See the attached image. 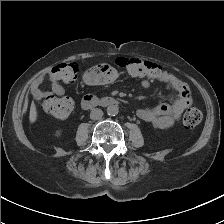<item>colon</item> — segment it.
I'll use <instances>...</instances> for the list:
<instances>
[{
    "label": "colon",
    "mask_w": 224,
    "mask_h": 224,
    "mask_svg": "<svg viewBox=\"0 0 224 224\" xmlns=\"http://www.w3.org/2000/svg\"><path fill=\"white\" fill-rule=\"evenodd\" d=\"M116 64L124 68L127 73L134 77H145L155 80L162 84L170 83L174 77L173 73L163 70L159 65L139 58H118ZM63 82L70 83L74 81L79 71V65L75 61H66L52 67ZM45 111L54 118H67L72 109L73 101L68 97H46L43 101ZM202 121V113L196 107L186 109L183 117V124L186 128H195Z\"/></svg>",
    "instance_id": "1"
}]
</instances>
